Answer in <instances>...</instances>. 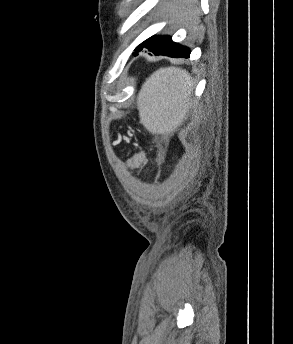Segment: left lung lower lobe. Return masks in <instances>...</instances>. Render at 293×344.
<instances>
[{"label":"left lung lower lobe","mask_w":293,"mask_h":344,"mask_svg":"<svg viewBox=\"0 0 293 344\" xmlns=\"http://www.w3.org/2000/svg\"><path fill=\"white\" fill-rule=\"evenodd\" d=\"M145 47L148 50H150L152 53H154L155 55H165V56L176 57V58H179V57L189 58L190 56L189 48L182 46L178 43H175L172 40H170L166 44L146 45ZM140 50H138L137 52H139Z\"/></svg>","instance_id":"left-lung-lower-lobe-1"}]
</instances>
